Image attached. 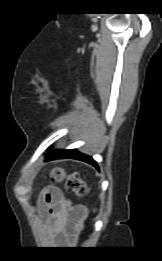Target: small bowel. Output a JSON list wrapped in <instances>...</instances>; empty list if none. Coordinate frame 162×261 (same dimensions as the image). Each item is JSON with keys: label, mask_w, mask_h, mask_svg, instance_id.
<instances>
[{"label": "small bowel", "mask_w": 162, "mask_h": 261, "mask_svg": "<svg viewBox=\"0 0 162 261\" xmlns=\"http://www.w3.org/2000/svg\"><path fill=\"white\" fill-rule=\"evenodd\" d=\"M85 213V207L72 206L58 188L50 186L43 191L41 214L58 243L70 240Z\"/></svg>", "instance_id": "1"}]
</instances>
